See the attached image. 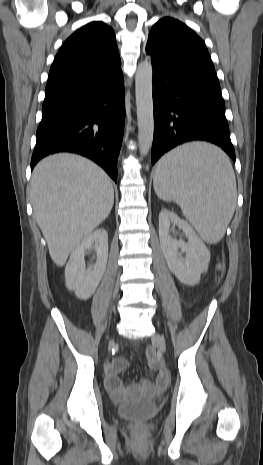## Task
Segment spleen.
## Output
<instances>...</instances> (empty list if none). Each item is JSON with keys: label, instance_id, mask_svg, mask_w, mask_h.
<instances>
[{"label": "spleen", "instance_id": "1", "mask_svg": "<svg viewBox=\"0 0 263 465\" xmlns=\"http://www.w3.org/2000/svg\"><path fill=\"white\" fill-rule=\"evenodd\" d=\"M153 183L157 196L176 202L205 242L223 238L237 198L235 174L223 151L206 143L177 147L159 160Z\"/></svg>", "mask_w": 263, "mask_h": 465}]
</instances>
